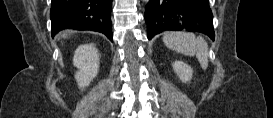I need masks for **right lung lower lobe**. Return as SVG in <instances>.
Returning a JSON list of instances; mask_svg holds the SVG:
<instances>
[{"label": "right lung lower lobe", "mask_w": 273, "mask_h": 118, "mask_svg": "<svg viewBox=\"0 0 273 118\" xmlns=\"http://www.w3.org/2000/svg\"><path fill=\"white\" fill-rule=\"evenodd\" d=\"M112 0H52V37L60 30H93L112 40Z\"/></svg>", "instance_id": "1"}]
</instances>
